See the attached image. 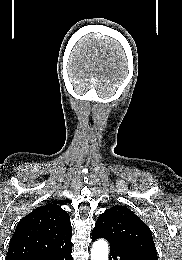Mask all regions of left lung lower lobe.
I'll use <instances>...</instances> for the list:
<instances>
[{"label":"left lung lower lobe","instance_id":"obj_1","mask_svg":"<svg viewBox=\"0 0 182 260\" xmlns=\"http://www.w3.org/2000/svg\"><path fill=\"white\" fill-rule=\"evenodd\" d=\"M98 238H105V237L97 233H92V241ZM109 243H110L109 260H157V258L152 257L151 255L145 252L130 249L128 247L119 245L115 242L109 241Z\"/></svg>","mask_w":182,"mask_h":260}]
</instances>
